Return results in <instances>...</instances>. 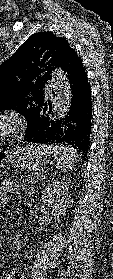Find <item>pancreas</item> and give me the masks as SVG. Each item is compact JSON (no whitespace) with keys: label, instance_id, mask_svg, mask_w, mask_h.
Wrapping results in <instances>:
<instances>
[{"label":"pancreas","instance_id":"cf45deb5","mask_svg":"<svg viewBox=\"0 0 113 279\" xmlns=\"http://www.w3.org/2000/svg\"><path fill=\"white\" fill-rule=\"evenodd\" d=\"M42 179H44L43 174H41V173H34V174H29L28 177L26 178V181L31 183V184H35L39 180H42Z\"/></svg>","mask_w":113,"mask_h":279}]
</instances>
